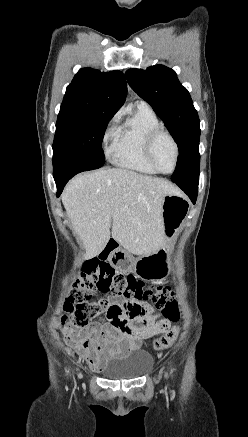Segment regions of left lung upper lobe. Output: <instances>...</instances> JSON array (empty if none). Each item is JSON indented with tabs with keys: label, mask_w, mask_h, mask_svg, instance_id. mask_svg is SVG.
I'll use <instances>...</instances> for the list:
<instances>
[{
	"label": "left lung upper lobe",
	"mask_w": 248,
	"mask_h": 437,
	"mask_svg": "<svg viewBox=\"0 0 248 437\" xmlns=\"http://www.w3.org/2000/svg\"><path fill=\"white\" fill-rule=\"evenodd\" d=\"M125 77L132 89L164 121L179 149V159L171 177L174 183L199 180L200 121L189 92L176 73L163 65L146 70L129 69Z\"/></svg>",
	"instance_id": "5c2ea615"
}]
</instances>
